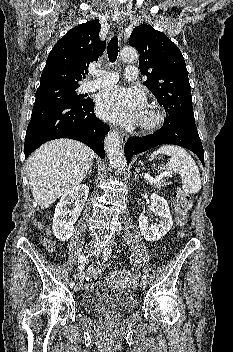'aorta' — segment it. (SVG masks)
I'll return each instance as SVG.
<instances>
[{
    "mask_svg": "<svg viewBox=\"0 0 233 352\" xmlns=\"http://www.w3.org/2000/svg\"><path fill=\"white\" fill-rule=\"evenodd\" d=\"M120 56L124 61L132 62L138 59V53L134 48H123L120 52ZM105 150L112 167L117 174H121L126 167V158L117 131H110L106 135Z\"/></svg>",
    "mask_w": 233,
    "mask_h": 352,
    "instance_id": "762f6f07",
    "label": "aorta"
}]
</instances>
